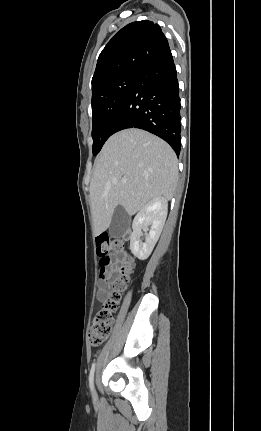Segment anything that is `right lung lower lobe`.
Returning a JSON list of instances; mask_svg holds the SVG:
<instances>
[{
    "label": "right lung lower lobe",
    "instance_id": "98d812e1",
    "mask_svg": "<svg viewBox=\"0 0 261 431\" xmlns=\"http://www.w3.org/2000/svg\"><path fill=\"white\" fill-rule=\"evenodd\" d=\"M180 98L170 49L138 73L112 128V134L139 128L164 139L177 156L181 150Z\"/></svg>",
    "mask_w": 261,
    "mask_h": 431
}]
</instances>
